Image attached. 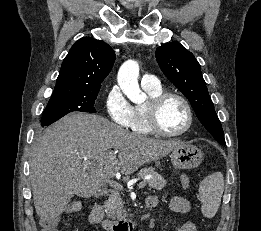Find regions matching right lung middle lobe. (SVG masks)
Wrapping results in <instances>:
<instances>
[{"label": "right lung middle lobe", "mask_w": 261, "mask_h": 231, "mask_svg": "<svg viewBox=\"0 0 261 231\" xmlns=\"http://www.w3.org/2000/svg\"><path fill=\"white\" fill-rule=\"evenodd\" d=\"M99 90H54L41 119L48 126L73 111L96 113L95 99Z\"/></svg>", "instance_id": "obj_1"}]
</instances>
